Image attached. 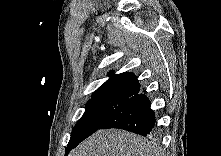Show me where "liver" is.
I'll return each instance as SVG.
<instances>
[{
    "mask_svg": "<svg viewBox=\"0 0 221 156\" xmlns=\"http://www.w3.org/2000/svg\"><path fill=\"white\" fill-rule=\"evenodd\" d=\"M70 156H159V148L137 134L109 129L90 136Z\"/></svg>",
    "mask_w": 221,
    "mask_h": 156,
    "instance_id": "6515ba94",
    "label": "liver"
}]
</instances>
